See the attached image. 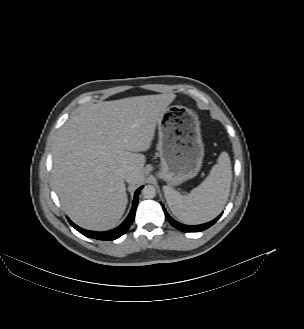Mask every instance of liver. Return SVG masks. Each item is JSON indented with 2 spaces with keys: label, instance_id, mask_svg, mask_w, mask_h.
I'll return each mask as SVG.
<instances>
[{
  "label": "liver",
  "instance_id": "1",
  "mask_svg": "<svg viewBox=\"0 0 304 329\" xmlns=\"http://www.w3.org/2000/svg\"><path fill=\"white\" fill-rule=\"evenodd\" d=\"M176 95L128 97L92 104L72 116L53 145L54 188L66 214L95 231L113 228L128 202L129 184L144 181L145 156L156 125Z\"/></svg>",
  "mask_w": 304,
  "mask_h": 329
}]
</instances>
